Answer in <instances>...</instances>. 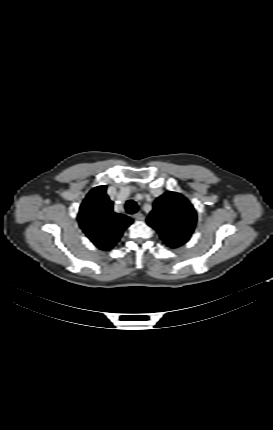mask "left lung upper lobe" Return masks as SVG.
I'll return each mask as SVG.
<instances>
[{"label": "left lung upper lobe", "mask_w": 273, "mask_h": 430, "mask_svg": "<svg viewBox=\"0 0 273 430\" xmlns=\"http://www.w3.org/2000/svg\"><path fill=\"white\" fill-rule=\"evenodd\" d=\"M196 223V211L181 194L166 192L156 199L147 224L154 228L164 243L176 248L186 243Z\"/></svg>", "instance_id": "left-lung-upper-lobe-1"}]
</instances>
